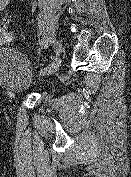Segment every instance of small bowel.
<instances>
[{
    "instance_id": "c3829d8e",
    "label": "small bowel",
    "mask_w": 131,
    "mask_h": 177,
    "mask_svg": "<svg viewBox=\"0 0 131 177\" xmlns=\"http://www.w3.org/2000/svg\"><path fill=\"white\" fill-rule=\"evenodd\" d=\"M10 0H0V12L3 11L7 5L9 4ZM20 1H25V0H20Z\"/></svg>"
}]
</instances>
